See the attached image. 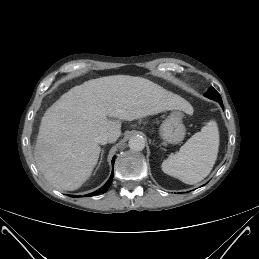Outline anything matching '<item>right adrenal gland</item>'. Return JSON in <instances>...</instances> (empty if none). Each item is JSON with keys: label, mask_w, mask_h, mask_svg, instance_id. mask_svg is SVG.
Returning a JSON list of instances; mask_svg holds the SVG:
<instances>
[{"label": "right adrenal gland", "mask_w": 259, "mask_h": 259, "mask_svg": "<svg viewBox=\"0 0 259 259\" xmlns=\"http://www.w3.org/2000/svg\"><path fill=\"white\" fill-rule=\"evenodd\" d=\"M103 154H104V150L102 149V151H101L100 161H99V164H98V167L96 168V170L100 167V164H101L102 159H103Z\"/></svg>", "instance_id": "1"}]
</instances>
